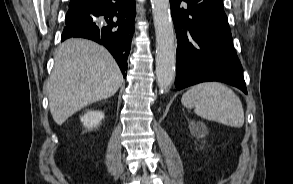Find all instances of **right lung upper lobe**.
<instances>
[{
    "label": "right lung upper lobe",
    "mask_w": 293,
    "mask_h": 184,
    "mask_svg": "<svg viewBox=\"0 0 293 184\" xmlns=\"http://www.w3.org/2000/svg\"><path fill=\"white\" fill-rule=\"evenodd\" d=\"M82 1H89V0H71L70 4H69V7L70 6H74L76 4H79L81 3Z\"/></svg>",
    "instance_id": "cb5924a9"
}]
</instances>
